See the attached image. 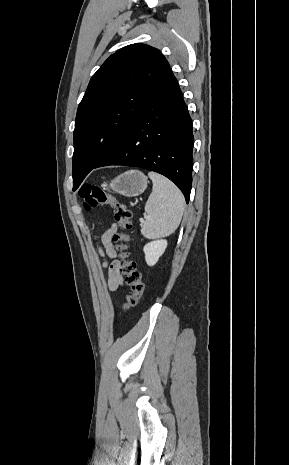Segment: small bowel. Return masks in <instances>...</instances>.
<instances>
[{"label":"small bowel","instance_id":"1","mask_svg":"<svg viewBox=\"0 0 289 465\" xmlns=\"http://www.w3.org/2000/svg\"><path fill=\"white\" fill-rule=\"evenodd\" d=\"M115 231V226H112L108 231H106L101 238L102 246L98 247L100 256H107L111 260L109 264H104L107 272L108 288L110 291H116L123 285L120 263L115 259L116 252L112 242V236Z\"/></svg>","mask_w":289,"mask_h":465}]
</instances>
